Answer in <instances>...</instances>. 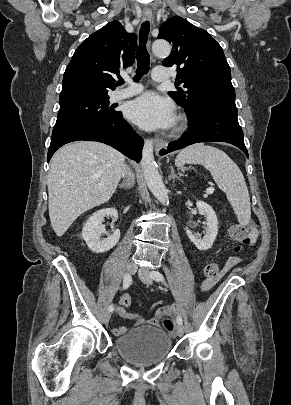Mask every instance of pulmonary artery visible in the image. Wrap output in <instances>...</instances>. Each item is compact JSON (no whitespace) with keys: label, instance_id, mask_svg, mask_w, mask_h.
Here are the masks:
<instances>
[{"label":"pulmonary artery","instance_id":"obj_1","mask_svg":"<svg viewBox=\"0 0 291 405\" xmlns=\"http://www.w3.org/2000/svg\"><path fill=\"white\" fill-rule=\"evenodd\" d=\"M170 77L169 72L165 68H156L153 71L152 78L156 82H163ZM143 90L142 85L128 81V86L115 91L112 95L114 101L122 100L128 97H132Z\"/></svg>","mask_w":291,"mask_h":405}]
</instances>
